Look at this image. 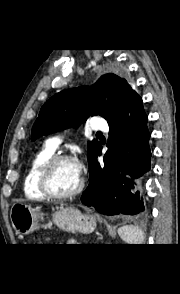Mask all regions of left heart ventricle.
Wrapping results in <instances>:
<instances>
[{
    "instance_id": "obj_1",
    "label": "left heart ventricle",
    "mask_w": 180,
    "mask_h": 294,
    "mask_svg": "<svg viewBox=\"0 0 180 294\" xmlns=\"http://www.w3.org/2000/svg\"><path fill=\"white\" fill-rule=\"evenodd\" d=\"M80 183L74 162H62L53 170L49 185L51 189L59 194L69 193L75 190Z\"/></svg>"
}]
</instances>
